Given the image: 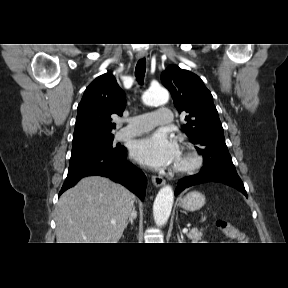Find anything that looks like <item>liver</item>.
<instances>
[{
	"label": "liver",
	"instance_id": "1",
	"mask_svg": "<svg viewBox=\"0 0 288 288\" xmlns=\"http://www.w3.org/2000/svg\"><path fill=\"white\" fill-rule=\"evenodd\" d=\"M135 200L128 189L107 178L81 179L58 201L57 243H117Z\"/></svg>",
	"mask_w": 288,
	"mask_h": 288
}]
</instances>
